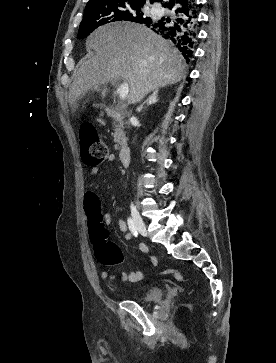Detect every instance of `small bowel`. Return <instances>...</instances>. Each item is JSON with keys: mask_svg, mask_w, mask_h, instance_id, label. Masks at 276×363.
I'll return each instance as SVG.
<instances>
[{"mask_svg": "<svg viewBox=\"0 0 276 363\" xmlns=\"http://www.w3.org/2000/svg\"><path fill=\"white\" fill-rule=\"evenodd\" d=\"M114 159V155L110 154L107 158L108 161H113ZM92 175H96L99 172L98 167H92L90 170ZM84 205L85 208H93L98 210L99 208V198L98 195L95 192H88L85 195V200H84ZM102 219L104 221V223L106 225H109L113 222V216L111 213H105L102 215ZM118 224V228L119 230L124 234V237L126 239H130L131 238V233L128 230V227L126 225V223L122 220V219H118L117 221ZM140 249L143 253H147V247L145 245H141ZM158 263V260L155 256H150L148 261H147V265L149 266H156ZM144 277V273L141 271H136V272H119V273H112L109 270H103L101 272V278L103 280L106 281H121V282H137L140 281L141 279H143Z\"/></svg>", "mask_w": 276, "mask_h": 363, "instance_id": "obj_1", "label": "small bowel"}]
</instances>
